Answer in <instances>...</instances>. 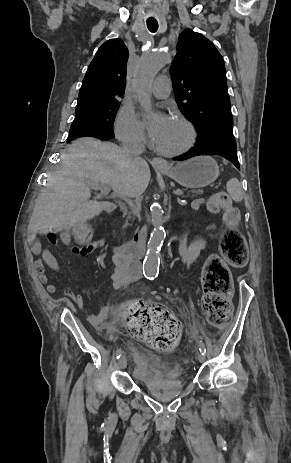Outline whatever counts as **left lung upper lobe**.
Returning <instances> with one entry per match:
<instances>
[{"instance_id": "5c2ea615", "label": "left lung upper lobe", "mask_w": 291, "mask_h": 463, "mask_svg": "<svg viewBox=\"0 0 291 463\" xmlns=\"http://www.w3.org/2000/svg\"><path fill=\"white\" fill-rule=\"evenodd\" d=\"M170 74L176 102L195 125L197 142L236 148L225 65L214 44L184 30Z\"/></svg>"}]
</instances>
